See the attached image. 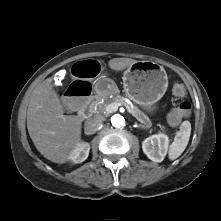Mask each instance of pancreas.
<instances>
[{"label": "pancreas", "instance_id": "cf45deb5", "mask_svg": "<svg viewBox=\"0 0 221 221\" xmlns=\"http://www.w3.org/2000/svg\"><path fill=\"white\" fill-rule=\"evenodd\" d=\"M111 103H120L121 105L125 106L128 111L142 124L145 125V127H151L152 123L149 119V117L144 114L137 106H131L125 101V98L123 97H116L113 98L112 100L105 101L103 104H100V100L97 99L93 102L90 103L89 105V110L91 113H100V112H105L106 107L111 104Z\"/></svg>", "mask_w": 221, "mask_h": 221}]
</instances>
